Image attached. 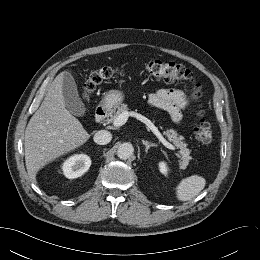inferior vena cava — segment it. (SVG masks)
<instances>
[{
	"label": "inferior vena cava",
	"mask_w": 260,
	"mask_h": 260,
	"mask_svg": "<svg viewBox=\"0 0 260 260\" xmlns=\"http://www.w3.org/2000/svg\"><path fill=\"white\" fill-rule=\"evenodd\" d=\"M93 139H94L95 143H97L99 145H105L111 141L112 135L107 130H99L95 133Z\"/></svg>",
	"instance_id": "obj_1"
}]
</instances>
